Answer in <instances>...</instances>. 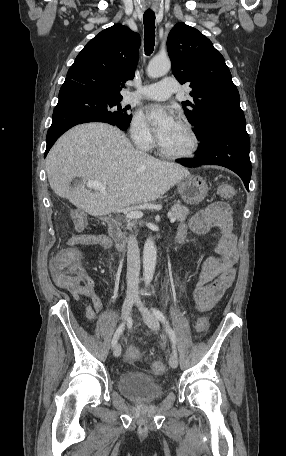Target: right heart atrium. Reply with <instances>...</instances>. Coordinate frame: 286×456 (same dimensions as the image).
<instances>
[{"instance_id": "right-heart-atrium-1", "label": "right heart atrium", "mask_w": 286, "mask_h": 456, "mask_svg": "<svg viewBox=\"0 0 286 456\" xmlns=\"http://www.w3.org/2000/svg\"><path fill=\"white\" fill-rule=\"evenodd\" d=\"M130 137L133 143L142 150H148L154 144L151 130L140 114L135 115L131 121Z\"/></svg>"}]
</instances>
